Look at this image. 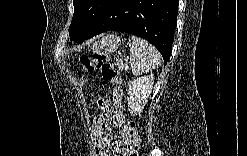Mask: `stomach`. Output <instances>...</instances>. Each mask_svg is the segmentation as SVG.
I'll list each match as a JSON object with an SVG mask.
<instances>
[{
	"instance_id": "0dacf381",
	"label": "stomach",
	"mask_w": 247,
	"mask_h": 156,
	"mask_svg": "<svg viewBox=\"0 0 247 156\" xmlns=\"http://www.w3.org/2000/svg\"><path fill=\"white\" fill-rule=\"evenodd\" d=\"M121 44V38L116 34H108L92 44V51L99 54L114 52Z\"/></svg>"
}]
</instances>
